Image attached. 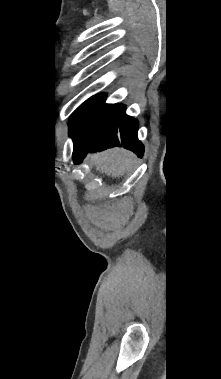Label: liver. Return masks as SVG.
Masks as SVG:
<instances>
[{"instance_id":"1","label":"liver","mask_w":221,"mask_h":379,"mask_svg":"<svg viewBox=\"0 0 221 379\" xmlns=\"http://www.w3.org/2000/svg\"><path fill=\"white\" fill-rule=\"evenodd\" d=\"M133 157L134 155L131 152L123 148H113L89 156L91 164L95 166L97 171L112 178L122 177L129 172Z\"/></svg>"}]
</instances>
